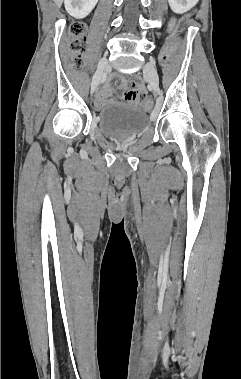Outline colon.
Returning <instances> with one entry per match:
<instances>
[{
  "mask_svg": "<svg viewBox=\"0 0 241 379\" xmlns=\"http://www.w3.org/2000/svg\"><path fill=\"white\" fill-rule=\"evenodd\" d=\"M182 22L190 19L189 13L183 14ZM174 32H171L167 37V42L169 44H164L159 47V53L156 54L155 62L161 63L162 65H167L168 63L174 62V53L177 52V47L179 43L182 42L184 38V33L181 32V24H174ZM187 27V26H186ZM86 49V26L82 23H73L69 27V45L68 51L71 61L74 65L80 63V59ZM142 108L150 109L151 108V99L143 98L142 99Z\"/></svg>",
  "mask_w": 241,
  "mask_h": 379,
  "instance_id": "1",
  "label": "colon"
}]
</instances>
